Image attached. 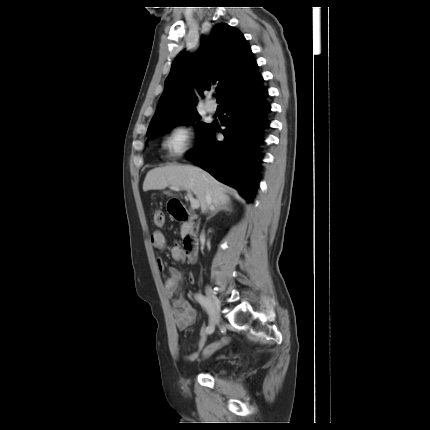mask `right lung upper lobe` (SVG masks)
Wrapping results in <instances>:
<instances>
[{"instance_id": "obj_1", "label": "right lung upper lobe", "mask_w": 430, "mask_h": 430, "mask_svg": "<svg viewBox=\"0 0 430 430\" xmlns=\"http://www.w3.org/2000/svg\"><path fill=\"white\" fill-rule=\"evenodd\" d=\"M257 67L243 34L228 24H217L193 56L181 52L175 58L149 127L195 109L196 102L189 100L195 84L201 96L204 90L215 89L217 101L223 102L235 86L259 75Z\"/></svg>"}]
</instances>
